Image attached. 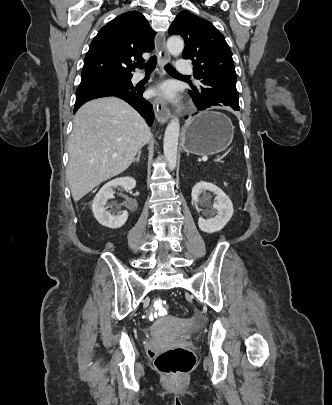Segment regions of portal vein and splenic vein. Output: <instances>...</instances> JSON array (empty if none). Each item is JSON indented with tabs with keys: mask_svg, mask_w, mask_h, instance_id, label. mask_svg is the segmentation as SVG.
Returning a JSON list of instances; mask_svg holds the SVG:
<instances>
[{
	"mask_svg": "<svg viewBox=\"0 0 332 405\" xmlns=\"http://www.w3.org/2000/svg\"><path fill=\"white\" fill-rule=\"evenodd\" d=\"M207 159H208L207 157H203V158H202L203 161H207Z\"/></svg>",
	"mask_w": 332,
	"mask_h": 405,
	"instance_id": "18ae733b",
	"label": "portal vein and splenic vein"
}]
</instances>
